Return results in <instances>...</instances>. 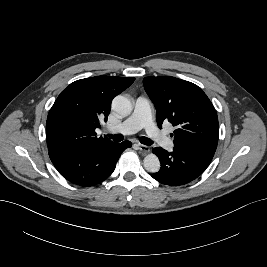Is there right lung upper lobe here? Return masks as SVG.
Masks as SVG:
<instances>
[{"label": "right lung upper lobe", "mask_w": 267, "mask_h": 267, "mask_svg": "<svg viewBox=\"0 0 267 267\" xmlns=\"http://www.w3.org/2000/svg\"><path fill=\"white\" fill-rule=\"evenodd\" d=\"M135 78L96 76L77 80L65 88L49 111L46 140L49 152L73 151L112 143L96 137L100 121H107L111 102Z\"/></svg>", "instance_id": "cb5924a9"}]
</instances>
